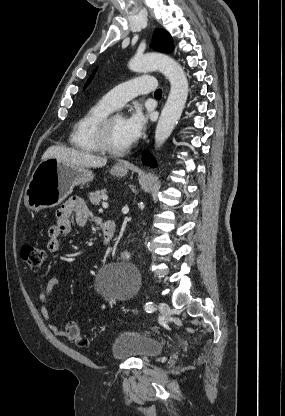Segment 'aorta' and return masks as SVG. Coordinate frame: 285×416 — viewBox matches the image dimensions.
I'll use <instances>...</instances> for the list:
<instances>
[{"label":"aorta","mask_w":285,"mask_h":416,"mask_svg":"<svg viewBox=\"0 0 285 416\" xmlns=\"http://www.w3.org/2000/svg\"><path fill=\"white\" fill-rule=\"evenodd\" d=\"M129 68L139 73L158 70L170 82L168 99L155 130V146L160 147L171 135L182 114L188 96L187 77L175 60L157 53H148L131 59Z\"/></svg>","instance_id":"aorta-1"}]
</instances>
